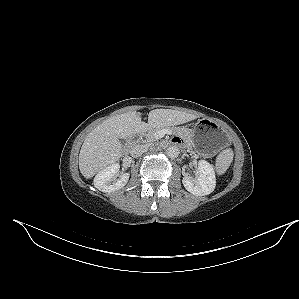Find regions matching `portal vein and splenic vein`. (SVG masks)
<instances>
[{
    "mask_svg": "<svg viewBox=\"0 0 299 299\" xmlns=\"http://www.w3.org/2000/svg\"><path fill=\"white\" fill-rule=\"evenodd\" d=\"M166 134H170V130H168V129H161V130H159V131H157L155 133V137L157 139H160V138L164 137Z\"/></svg>",
    "mask_w": 299,
    "mask_h": 299,
    "instance_id": "18ae733b",
    "label": "portal vein and splenic vein"
}]
</instances>
